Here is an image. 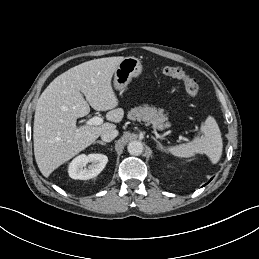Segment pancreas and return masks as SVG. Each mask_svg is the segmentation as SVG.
<instances>
[{
    "label": "pancreas",
    "mask_w": 259,
    "mask_h": 259,
    "mask_svg": "<svg viewBox=\"0 0 259 259\" xmlns=\"http://www.w3.org/2000/svg\"><path fill=\"white\" fill-rule=\"evenodd\" d=\"M128 119L133 121L137 120L149 122L158 128H162L167 125V116L163 113V111H157L155 107H150L148 105L131 109L128 112Z\"/></svg>",
    "instance_id": "pancreas-1"
}]
</instances>
